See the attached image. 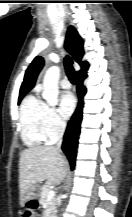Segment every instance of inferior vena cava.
Wrapping results in <instances>:
<instances>
[{"mask_svg":"<svg viewBox=\"0 0 132 217\" xmlns=\"http://www.w3.org/2000/svg\"><path fill=\"white\" fill-rule=\"evenodd\" d=\"M65 128H66V123L64 121H60L59 124H58V129H57V131H58V142H57V145H56L57 149L61 148L62 138H63Z\"/></svg>","mask_w":132,"mask_h":217,"instance_id":"obj_1","label":"inferior vena cava"}]
</instances>
